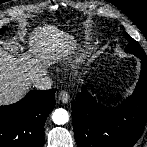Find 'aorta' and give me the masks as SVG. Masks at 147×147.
Returning a JSON list of instances; mask_svg holds the SVG:
<instances>
[{"mask_svg":"<svg viewBox=\"0 0 147 147\" xmlns=\"http://www.w3.org/2000/svg\"><path fill=\"white\" fill-rule=\"evenodd\" d=\"M52 120L57 125H64L69 120V114L65 109H56L52 114Z\"/></svg>","mask_w":147,"mask_h":147,"instance_id":"1","label":"aorta"}]
</instances>
